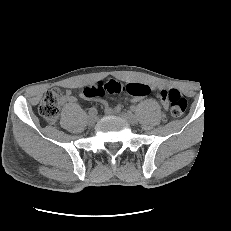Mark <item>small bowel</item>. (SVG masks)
<instances>
[{"instance_id":"obj_1","label":"small bowel","mask_w":231,"mask_h":231,"mask_svg":"<svg viewBox=\"0 0 231 231\" xmlns=\"http://www.w3.org/2000/svg\"><path fill=\"white\" fill-rule=\"evenodd\" d=\"M148 86V85H147ZM150 89H154V90H160L162 87L159 85V84H151L150 86H148ZM140 98L142 97H134V100L137 101L139 100ZM76 100V98L68 93L65 97H64V101L65 102H74ZM120 110V106L119 105H116L114 107H111L107 104H105V111L108 113V114H113V113H117L118 111Z\"/></svg>"}]
</instances>
